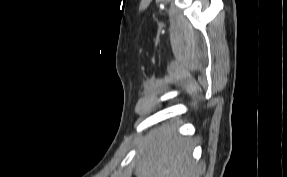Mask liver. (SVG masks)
Instances as JSON below:
<instances>
[{"label":"liver","mask_w":287,"mask_h":177,"mask_svg":"<svg viewBox=\"0 0 287 177\" xmlns=\"http://www.w3.org/2000/svg\"><path fill=\"white\" fill-rule=\"evenodd\" d=\"M192 140L163 125L143 139L135 160L137 177H196Z\"/></svg>","instance_id":"liver-1"}]
</instances>
